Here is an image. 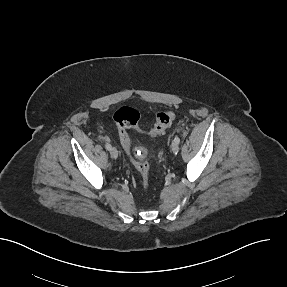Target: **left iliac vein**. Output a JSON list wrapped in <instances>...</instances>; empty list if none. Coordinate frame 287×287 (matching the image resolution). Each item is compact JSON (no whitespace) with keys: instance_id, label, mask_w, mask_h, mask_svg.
<instances>
[{"instance_id":"obj_1","label":"left iliac vein","mask_w":287,"mask_h":287,"mask_svg":"<svg viewBox=\"0 0 287 287\" xmlns=\"http://www.w3.org/2000/svg\"><path fill=\"white\" fill-rule=\"evenodd\" d=\"M171 150L174 154H177L179 151L178 144L175 141H173L171 144Z\"/></svg>"}]
</instances>
